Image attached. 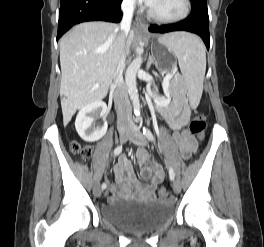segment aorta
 Listing matches in <instances>:
<instances>
[{
	"mask_svg": "<svg viewBox=\"0 0 264 247\" xmlns=\"http://www.w3.org/2000/svg\"><path fill=\"white\" fill-rule=\"evenodd\" d=\"M138 53H142L143 50L141 48L137 49ZM142 64V57L138 55L128 66L125 74V83L128 89V93L130 99L132 100L134 113L136 116H140V102H139V94L136 85V75L141 67Z\"/></svg>",
	"mask_w": 264,
	"mask_h": 247,
	"instance_id": "aorta-1",
	"label": "aorta"
}]
</instances>
